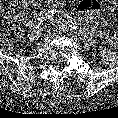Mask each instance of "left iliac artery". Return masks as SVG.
Segmentation results:
<instances>
[{"mask_svg":"<svg viewBox=\"0 0 118 118\" xmlns=\"http://www.w3.org/2000/svg\"><path fill=\"white\" fill-rule=\"evenodd\" d=\"M64 20L72 29L77 28V23H76L75 19H73L71 16L66 15Z\"/></svg>","mask_w":118,"mask_h":118,"instance_id":"44dca946","label":"left iliac artery"}]
</instances>
